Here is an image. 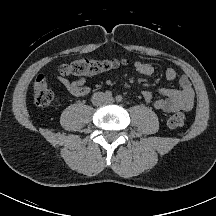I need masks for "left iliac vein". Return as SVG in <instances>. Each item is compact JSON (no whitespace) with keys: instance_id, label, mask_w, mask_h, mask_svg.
I'll list each match as a JSON object with an SVG mask.
<instances>
[{"instance_id":"1","label":"left iliac vein","mask_w":216,"mask_h":216,"mask_svg":"<svg viewBox=\"0 0 216 216\" xmlns=\"http://www.w3.org/2000/svg\"><path fill=\"white\" fill-rule=\"evenodd\" d=\"M108 101H109V102H113V98H109Z\"/></svg>"}]
</instances>
